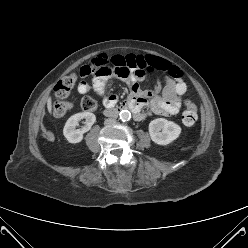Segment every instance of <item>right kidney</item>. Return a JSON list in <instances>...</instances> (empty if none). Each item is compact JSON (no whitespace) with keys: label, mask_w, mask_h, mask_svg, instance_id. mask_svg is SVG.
Segmentation results:
<instances>
[{"label":"right kidney","mask_w":248,"mask_h":248,"mask_svg":"<svg viewBox=\"0 0 248 248\" xmlns=\"http://www.w3.org/2000/svg\"><path fill=\"white\" fill-rule=\"evenodd\" d=\"M82 119L86 120L84 126L80 129H76V126ZM95 121L96 116L93 113L82 112L74 114L67 120L63 129V134L70 143H79L83 140L84 133L91 129V126Z\"/></svg>","instance_id":"right-kidney-1"}]
</instances>
